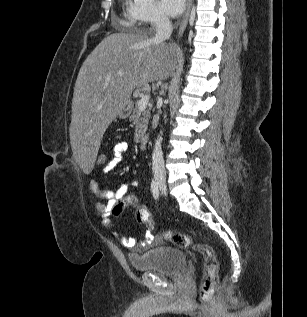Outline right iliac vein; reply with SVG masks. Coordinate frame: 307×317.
I'll list each match as a JSON object with an SVG mask.
<instances>
[{
  "mask_svg": "<svg viewBox=\"0 0 307 317\" xmlns=\"http://www.w3.org/2000/svg\"><path fill=\"white\" fill-rule=\"evenodd\" d=\"M156 180H157V183L159 184L162 192L166 193L165 178L163 176H157Z\"/></svg>",
  "mask_w": 307,
  "mask_h": 317,
  "instance_id": "1",
  "label": "right iliac vein"
}]
</instances>
